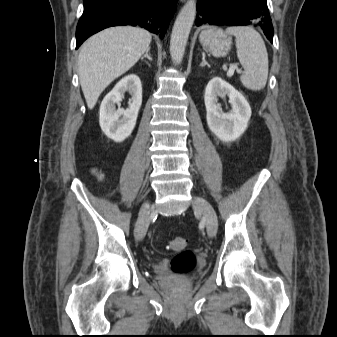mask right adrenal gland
Masks as SVG:
<instances>
[{"instance_id":"1","label":"right adrenal gland","mask_w":337,"mask_h":337,"mask_svg":"<svg viewBox=\"0 0 337 337\" xmlns=\"http://www.w3.org/2000/svg\"><path fill=\"white\" fill-rule=\"evenodd\" d=\"M149 51H150V48H148V49L146 50L145 55H144L143 57H141L142 60H143L144 58H147L149 61H152V58H151L150 55H149Z\"/></svg>"}]
</instances>
